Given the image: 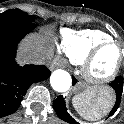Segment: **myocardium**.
Listing matches in <instances>:
<instances>
[{
	"instance_id": "obj_1",
	"label": "myocardium",
	"mask_w": 124,
	"mask_h": 124,
	"mask_svg": "<svg viewBox=\"0 0 124 124\" xmlns=\"http://www.w3.org/2000/svg\"><path fill=\"white\" fill-rule=\"evenodd\" d=\"M109 46H115L118 51H119V60L117 65L115 66L114 70L108 74L105 77H96L93 73H92V65L96 59V57L98 56V54L105 49L106 47ZM124 65V49L122 48V46L113 41V40H108V41H104L101 42L99 44H97L86 56V58L84 59L83 63H82V68H81V72H82V76L84 78V80L86 82H88L89 84L93 85V86H102V85H106L108 83H111L120 73L122 67Z\"/></svg>"
}]
</instances>
